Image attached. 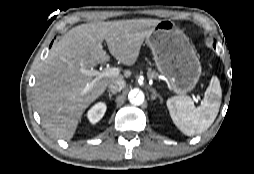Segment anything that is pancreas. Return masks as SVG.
<instances>
[{"label": "pancreas", "mask_w": 254, "mask_h": 174, "mask_svg": "<svg viewBox=\"0 0 254 174\" xmlns=\"http://www.w3.org/2000/svg\"><path fill=\"white\" fill-rule=\"evenodd\" d=\"M156 76H157V73L151 72V71L148 72V77L149 78H155Z\"/></svg>", "instance_id": "cf45deb5"}]
</instances>
